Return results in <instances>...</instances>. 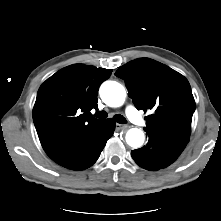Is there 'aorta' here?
<instances>
[{"label":"aorta","instance_id":"aorta-1","mask_svg":"<svg viewBox=\"0 0 221 221\" xmlns=\"http://www.w3.org/2000/svg\"><path fill=\"white\" fill-rule=\"evenodd\" d=\"M102 100L110 107L121 106L126 98L123 85L115 81H105L100 87ZM144 133L138 128H131L126 133V142L133 148H139L144 143Z\"/></svg>","mask_w":221,"mask_h":221}]
</instances>
